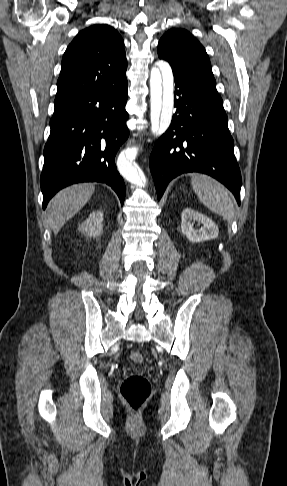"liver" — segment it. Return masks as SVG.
Here are the masks:
<instances>
[{"instance_id":"1","label":"liver","mask_w":287,"mask_h":486,"mask_svg":"<svg viewBox=\"0 0 287 486\" xmlns=\"http://www.w3.org/2000/svg\"><path fill=\"white\" fill-rule=\"evenodd\" d=\"M95 191L91 183L75 184L58 192L47 207V220L54 234L77 214Z\"/></svg>"}]
</instances>
